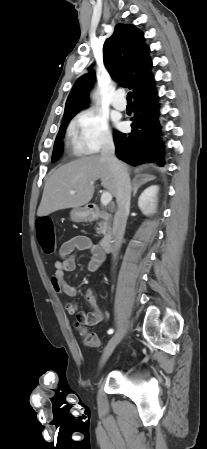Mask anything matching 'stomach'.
I'll return each instance as SVG.
<instances>
[{
	"mask_svg": "<svg viewBox=\"0 0 207 449\" xmlns=\"http://www.w3.org/2000/svg\"><path fill=\"white\" fill-rule=\"evenodd\" d=\"M70 218L73 222H85L90 219V212L86 207L73 208L70 212Z\"/></svg>",
	"mask_w": 207,
	"mask_h": 449,
	"instance_id": "obj_1",
	"label": "stomach"
}]
</instances>
